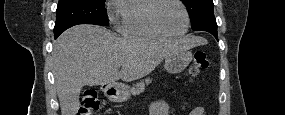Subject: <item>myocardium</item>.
I'll return each mask as SVG.
<instances>
[{
    "label": "myocardium",
    "mask_w": 285,
    "mask_h": 115,
    "mask_svg": "<svg viewBox=\"0 0 285 115\" xmlns=\"http://www.w3.org/2000/svg\"><path fill=\"white\" fill-rule=\"evenodd\" d=\"M165 1H173L175 3H177L183 10L184 12V16H185V27L181 32L178 33H171L169 31H167L158 21L157 19V11L159 9V6L161 3L165 2ZM150 21L152 23V25L162 34H164L167 37H181L183 35H185L190 27V15L189 12L186 8V6L184 5V3L180 0H156L154 6L152 7L151 13H150Z\"/></svg>",
    "instance_id": "obj_1"
}]
</instances>
